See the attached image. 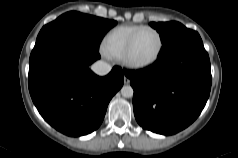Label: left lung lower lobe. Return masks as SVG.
Segmentation results:
<instances>
[{
	"label": "left lung lower lobe",
	"mask_w": 238,
	"mask_h": 158,
	"mask_svg": "<svg viewBox=\"0 0 238 158\" xmlns=\"http://www.w3.org/2000/svg\"><path fill=\"white\" fill-rule=\"evenodd\" d=\"M125 75L134 89L137 122L163 135L189 126L200 115L211 90L210 60L200 36L160 53L153 65Z\"/></svg>",
	"instance_id": "0a47b994"
}]
</instances>
